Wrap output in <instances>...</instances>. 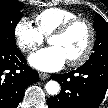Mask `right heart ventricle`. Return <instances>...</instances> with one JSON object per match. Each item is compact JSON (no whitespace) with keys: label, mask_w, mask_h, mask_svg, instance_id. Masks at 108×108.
<instances>
[{"label":"right heart ventricle","mask_w":108,"mask_h":108,"mask_svg":"<svg viewBox=\"0 0 108 108\" xmlns=\"http://www.w3.org/2000/svg\"><path fill=\"white\" fill-rule=\"evenodd\" d=\"M74 17H77V15L71 10L57 7L48 8L35 16V23L44 37L50 35L61 24Z\"/></svg>","instance_id":"1"}]
</instances>
